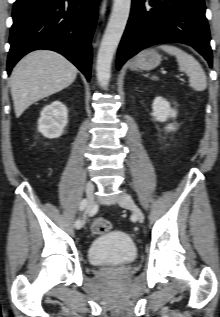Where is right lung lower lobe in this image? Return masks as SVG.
<instances>
[{"mask_svg": "<svg viewBox=\"0 0 220 317\" xmlns=\"http://www.w3.org/2000/svg\"><path fill=\"white\" fill-rule=\"evenodd\" d=\"M68 2V3H66ZM99 0H16L7 72L36 49L56 51L90 80L91 37Z\"/></svg>", "mask_w": 220, "mask_h": 317, "instance_id": "1", "label": "right lung lower lobe"}]
</instances>
